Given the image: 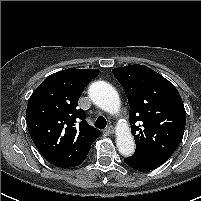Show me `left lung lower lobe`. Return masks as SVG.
<instances>
[{
	"label": "left lung lower lobe",
	"instance_id": "0a47b994",
	"mask_svg": "<svg viewBox=\"0 0 201 201\" xmlns=\"http://www.w3.org/2000/svg\"><path fill=\"white\" fill-rule=\"evenodd\" d=\"M167 157L139 158L130 156L124 159V162L131 168L139 171H149L155 169L167 161Z\"/></svg>",
	"mask_w": 201,
	"mask_h": 201
}]
</instances>
